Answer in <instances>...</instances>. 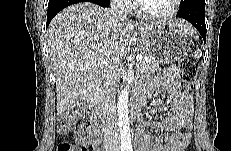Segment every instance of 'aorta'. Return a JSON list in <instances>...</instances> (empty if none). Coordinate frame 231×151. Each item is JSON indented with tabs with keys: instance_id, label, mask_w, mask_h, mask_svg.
Wrapping results in <instances>:
<instances>
[{
	"instance_id": "1",
	"label": "aorta",
	"mask_w": 231,
	"mask_h": 151,
	"mask_svg": "<svg viewBox=\"0 0 231 151\" xmlns=\"http://www.w3.org/2000/svg\"><path fill=\"white\" fill-rule=\"evenodd\" d=\"M128 98L129 92L127 89H124L121 92L117 103L118 124L121 135V141L125 145L131 143L130 124L128 117Z\"/></svg>"
}]
</instances>
